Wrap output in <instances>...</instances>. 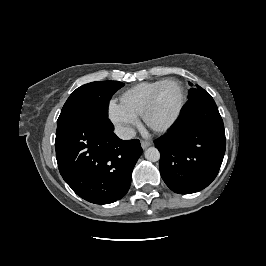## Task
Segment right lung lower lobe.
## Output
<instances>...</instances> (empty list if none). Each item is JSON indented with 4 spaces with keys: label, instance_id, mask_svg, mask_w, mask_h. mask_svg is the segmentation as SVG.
Wrapping results in <instances>:
<instances>
[{
    "label": "right lung lower lobe",
    "instance_id": "98d812e1",
    "mask_svg": "<svg viewBox=\"0 0 266 266\" xmlns=\"http://www.w3.org/2000/svg\"><path fill=\"white\" fill-rule=\"evenodd\" d=\"M107 116L88 113L59 135L55 149L64 181L81 198L109 204L128 191L142 154L138 139L121 140Z\"/></svg>",
    "mask_w": 266,
    "mask_h": 266
}]
</instances>
